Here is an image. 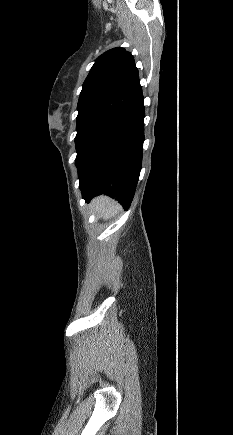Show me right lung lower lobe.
Wrapping results in <instances>:
<instances>
[{
  "mask_svg": "<svg viewBox=\"0 0 233 435\" xmlns=\"http://www.w3.org/2000/svg\"><path fill=\"white\" fill-rule=\"evenodd\" d=\"M143 100L92 148L79 164L82 197L89 201L106 194L127 209L133 199L142 165Z\"/></svg>",
  "mask_w": 233,
  "mask_h": 435,
  "instance_id": "98d812e1",
  "label": "right lung lower lobe"
}]
</instances>
